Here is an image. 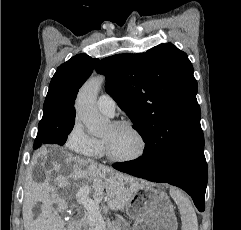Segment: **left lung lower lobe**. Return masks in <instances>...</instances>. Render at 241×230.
Here are the masks:
<instances>
[{
	"instance_id": "1",
	"label": "left lung lower lobe",
	"mask_w": 241,
	"mask_h": 230,
	"mask_svg": "<svg viewBox=\"0 0 241 230\" xmlns=\"http://www.w3.org/2000/svg\"><path fill=\"white\" fill-rule=\"evenodd\" d=\"M113 167L153 182L175 185L186 191L200 212L205 209L207 163L204 147L179 151L173 155L160 140L145 145L143 155L134 161L115 163Z\"/></svg>"
}]
</instances>
